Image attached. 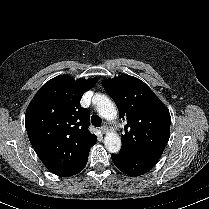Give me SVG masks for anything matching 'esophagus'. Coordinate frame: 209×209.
<instances>
[{"mask_svg": "<svg viewBox=\"0 0 209 209\" xmlns=\"http://www.w3.org/2000/svg\"><path fill=\"white\" fill-rule=\"evenodd\" d=\"M100 129H101L103 134L107 133V131H108V127L105 126V125H103Z\"/></svg>", "mask_w": 209, "mask_h": 209, "instance_id": "34e87169", "label": "esophagus"}]
</instances>
